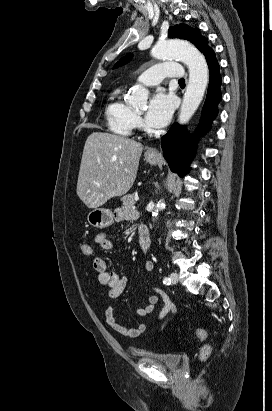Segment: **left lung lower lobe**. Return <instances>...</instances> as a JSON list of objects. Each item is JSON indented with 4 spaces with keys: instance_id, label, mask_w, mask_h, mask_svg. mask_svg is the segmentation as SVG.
Returning a JSON list of instances; mask_svg holds the SVG:
<instances>
[{
    "instance_id": "obj_1",
    "label": "left lung lower lobe",
    "mask_w": 272,
    "mask_h": 411,
    "mask_svg": "<svg viewBox=\"0 0 272 411\" xmlns=\"http://www.w3.org/2000/svg\"><path fill=\"white\" fill-rule=\"evenodd\" d=\"M205 58L209 67L210 82L196 134L190 137L184 126L175 123L161 139L164 158L168 161L171 170L177 172L180 177L189 172V164L194 156L200 132H205L210 128L212 120L218 113L217 106L221 100L222 80L214 51L212 49L208 51Z\"/></svg>"
}]
</instances>
